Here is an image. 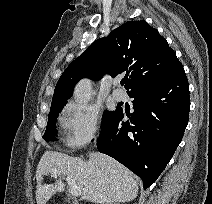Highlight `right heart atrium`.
<instances>
[{"instance_id":"obj_1","label":"right heart atrium","mask_w":212,"mask_h":204,"mask_svg":"<svg viewBox=\"0 0 212 204\" xmlns=\"http://www.w3.org/2000/svg\"><path fill=\"white\" fill-rule=\"evenodd\" d=\"M99 120L100 112L95 106L67 104L61 120L66 145L78 149L88 144L98 133Z\"/></svg>"}]
</instances>
